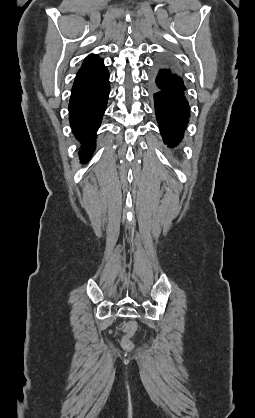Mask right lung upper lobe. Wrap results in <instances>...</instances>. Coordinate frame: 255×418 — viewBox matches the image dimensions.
Masks as SVG:
<instances>
[{
	"label": "right lung upper lobe",
	"mask_w": 255,
	"mask_h": 418,
	"mask_svg": "<svg viewBox=\"0 0 255 418\" xmlns=\"http://www.w3.org/2000/svg\"><path fill=\"white\" fill-rule=\"evenodd\" d=\"M94 58H97V55H89V56L86 57L85 61L86 60H91V59H94Z\"/></svg>",
	"instance_id": "obj_1"
}]
</instances>
